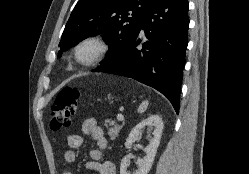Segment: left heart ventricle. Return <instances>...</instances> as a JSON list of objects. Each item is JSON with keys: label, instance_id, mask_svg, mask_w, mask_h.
Here are the masks:
<instances>
[{"label": "left heart ventricle", "instance_id": "b2bd125f", "mask_svg": "<svg viewBox=\"0 0 249 174\" xmlns=\"http://www.w3.org/2000/svg\"><path fill=\"white\" fill-rule=\"evenodd\" d=\"M96 52H97L96 46H94L92 44H88V45H85L84 47H82V49L80 51V55L82 58L88 59V58L94 56Z\"/></svg>", "mask_w": 249, "mask_h": 174}]
</instances>
